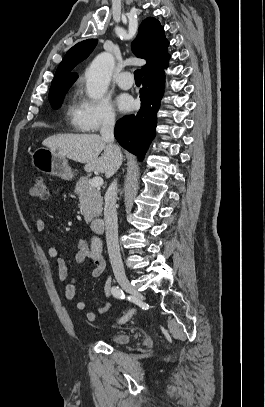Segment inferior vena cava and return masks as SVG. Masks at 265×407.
I'll return each mask as SVG.
<instances>
[{
  "label": "inferior vena cava",
  "instance_id": "inferior-vena-cava-1",
  "mask_svg": "<svg viewBox=\"0 0 265 407\" xmlns=\"http://www.w3.org/2000/svg\"><path fill=\"white\" fill-rule=\"evenodd\" d=\"M114 126L115 116L111 113H107L103 118L100 133L102 139L111 145H113L114 143ZM113 146L115 148L118 159H121L122 154L120 149L115 145ZM116 199L117 181L114 180L110 184L105 194L104 220L106 227V242L110 263L115 277H125V270L123 267L118 243V224L117 212L115 207Z\"/></svg>",
  "mask_w": 265,
  "mask_h": 407
}]
</instances>
